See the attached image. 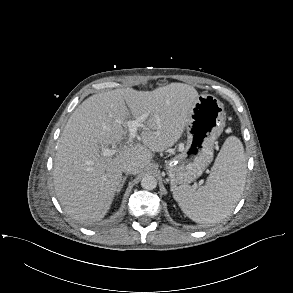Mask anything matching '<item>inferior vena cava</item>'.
<instances>
[{"label":"inferior vena cava","mask_w":293,"mask_h":293,"mask_svg":"<svg viewBox=\"0 0 293 293\" xmlns=\"http://www.w3.org/2000/svg\"><path fill=\"white\" fill-rule=\"evenodd\" d=\"M135 169V166L132 163H126L122 167V171L125 172L126 174L133 173Z\"/></svg>","instance_id":"obj_1"}]
</instances>
